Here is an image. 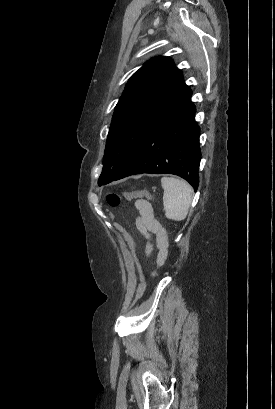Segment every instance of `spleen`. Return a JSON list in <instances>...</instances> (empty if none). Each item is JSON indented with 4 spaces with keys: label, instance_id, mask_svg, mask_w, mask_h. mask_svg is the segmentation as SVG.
<instances>
[{
    "label": "spleen",
    "instance_id": "3e777b00",
    "mask_svg": "<svg viewBox=\"0 0 275 409\" xmlns=\"http://www.w3.org/2000/svg\"><path fill=\"white\" fill-rule=\"evenodd\" d=\"M163 192V211L167 219L184 221L192 202L193 188L182 178L163 176L161 178Z\"/></svg>",
    "mask_w": 275,
    "mask_h": 409
}]
</instances>
